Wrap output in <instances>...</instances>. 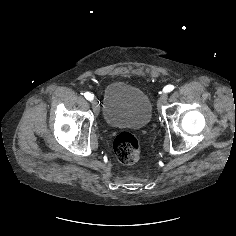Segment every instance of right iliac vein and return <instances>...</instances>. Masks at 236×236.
<instances>
[{
  "instance_id": "obj_1",
  "label": "right iliac vein",
  "mask_w": 236,
  "mask_h": 236,
  "mask_svg": "<svg viewBox=\"0 0 236 236\" xmlns=\"http://www.w3.org/2000/svg\"><path fill=\"white\" fill-rule=\"evenodd\" d=\"M92 107H93V109H94V112H95L96 114H98V113H99V106H98V102H97L96 100H93V101H92Z\"/></svg>"
}]
</instances>
